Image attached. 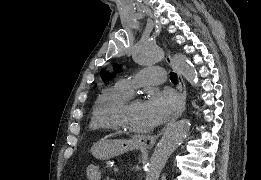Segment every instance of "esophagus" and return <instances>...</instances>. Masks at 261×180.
Segmentation results:
<instances>
[{
	"label": "esophagus",
	"mask_w": 261,
	"mask_h": 180,
	"mask_svg": "<svg viewBox=\"0 0 261 180\" xmlns=\"http://www.w3.org/2000/svg\"><path fill=\"white\" fill-rule=\"evenodd\" d=\"M165 61L173 66V62L171 59L170 54H165ZM177 75H178V82H179V95H180V105L179 108L177 110V112L175 113V115L171 118V120L169 121V123H167V125H165V127L161 130V132L157 135H139L137 137L138 142L145 148H152L155 145L156 140L159 138L160 135H162L163 133H165L169 127H171L172 124H174V122L180 117V115H182L183 111L185 110V106H186V86H185V82L183 80L182 74L181 72L176 69Z\"/></svg>",
	"instance_id": "obj_1"
}]
</instances>
